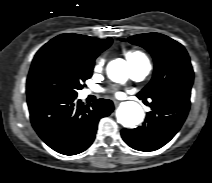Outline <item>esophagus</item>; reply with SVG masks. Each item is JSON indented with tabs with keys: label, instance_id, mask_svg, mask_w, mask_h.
<instances>
[{
	"label": "esophagus",
	"instance_id": "esophagus-1",
	"mask_svg": "<svg viewBox=\"0 0 212 183\" xmlns=\"http://www.w3.org/2000/svg\"><path fill=\"white\" fill-rule=\"evenodd\" d=\"M113 102H114L115 106H117L119 104V101H117V100H114Z\"/></svg>",
	"mask_w": 212,
	"mask_h": 183
}]
</instances>
